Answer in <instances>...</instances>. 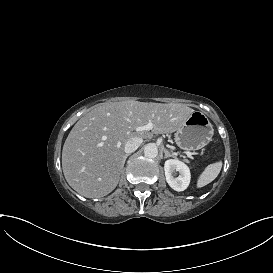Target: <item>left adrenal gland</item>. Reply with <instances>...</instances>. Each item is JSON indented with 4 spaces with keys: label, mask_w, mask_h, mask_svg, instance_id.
Instances as JSON below:
<instances>
[{
    "label": "left adrenal gland",
    "mask_w": 273,
    "mask_h": 273,
    "mask_svg": "<svg viewBox=\"0 0 273 273\" xmlns=\"http://www.w3.org/2000/svg\"><path fill=\"white\" fill-rule=\"evenodd\" d=\"M163 151H164V158H167V157H172V158H176V156L172 153H170L167 148H163Z\"/></svg>",
    "instance_id": "1"
}]
</instances>
